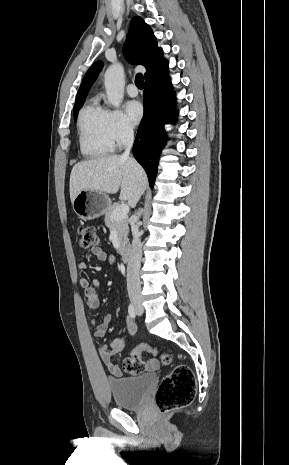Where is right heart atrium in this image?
Returning a JSON list of instances; mask_svg holds the SVG:
<instances>
[{
	"label": "right heart atrium",
	"instance_id": "obj_1",
	"mask_svg": "<svg viewBox=\"0 0 289 465\" xmlns=\"http://www.w3.org/2000/svg\"><path fill=\"white\" fill-rule=\"evenodd\" d=\"M108 127L116 145L122 146L134 137L133 126L121 110L114 109L108 112Z\"/></svg>",
	"mask_w": 289,
	"mask_h": 465
}]
</instances>
